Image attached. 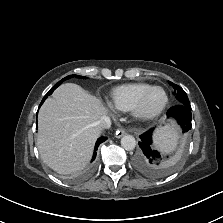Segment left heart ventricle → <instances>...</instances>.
<instances>
[{
  "label": "left heart ventricle",
  "mask_w": 223,
  "mask_h": 223,
  "mask_svg": "<svg viewBox=\"0 0 223 223\" xmlns=\"http://www.w3.org/2000/svg\"><path fill=\"white\" fill-rule=\"evenodd\" d=\"M165 95L161 90H154L147 97L144 104V111L146 113H153L157 111L164 103Z\"/></svg>",
  "instance_id": "left-heart-ventricle-1"
}]
</instances>
